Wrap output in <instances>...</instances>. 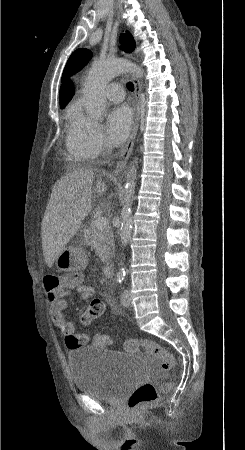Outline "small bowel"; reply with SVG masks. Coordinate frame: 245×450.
Segmentation results:
<instances>
[{"mask_svg":"<svg viewBox=\"0 0 245 450\" xmlns=\"http://www.w3.org/2000/svg\"><path fill=\"white\" fill-rule=\"evenodd\" d=\"M47 277H51L46 276ZM77 293L82 300H89L95 294V289L82 283L60 289L47 291L46 296L50 302V315L54 324L63 334H70L75 326L68 322L65 317L68 304L65 297L71 293ZM90 344L95 347H107L112 344L109 336L96 334L92 337Z\"/></svg>","mask_w":245,"mask_h":450,"instance_id":"1","label":"small bowel"}]
</instances>
